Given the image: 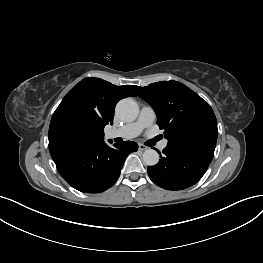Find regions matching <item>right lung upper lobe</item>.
Segmentation results:
<instances>
[{
  "mask_svg": "<svg viewBox=\"0 0 263 263\" xmlns=\"http://www.w3.org/2000/svg\"><path fill=\"white\" fill-rule=\"evenodd\" d=\"M132 87L116 86L91 77L76 84L52 116L49 127L51 156L102 141L104 127L113 124L117 102L136 96Z\"/></svg>",
  "mask_w": 263,
  "mask_h": 263,
  "instance_id": "1",
  "label": "right lung upper lobe"
}]
</instances>
